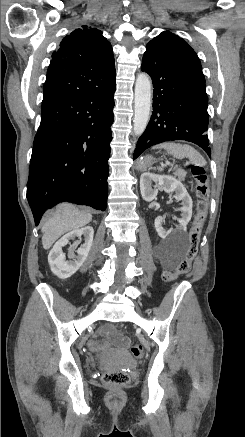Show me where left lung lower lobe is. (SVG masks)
I'll list each match as a JSON object with an SVG mask.
<instances>
[{"mask_svg": "<svg viewBox=\"0 0 245 437\" xmlns=\"http://www.w3.org/2000/svg\"><path fill=\"white\" fill-rule=\"evenodd\" d=\"M141 68L152 78L153 114L133 160L147 148L171 140L190 141L211 156L203 73L154 49L146 50Z\"/></svg>", "mask_w": 245, "mask_h": 437, "instance_id": "1", "label": "left lung lower lobe"}]
</instances>
